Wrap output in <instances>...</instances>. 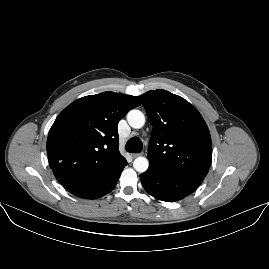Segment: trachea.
I'll return each instance as SVG.
<instances>
[{"label":"trachea","instance_id":"trachea-1","mask_svg":"<svg viewBox=\"0 0 269 269\" xmlns=\"http://www.w3.org/2000/svg\"><path fill=\"white\" fill-rule=\"evenodd\" d=\"M142 148V141L138 137H132L126 143V150L130 153H140Z\"/></svg>","mask_w":269,"mask_h":269}]
</instances>
